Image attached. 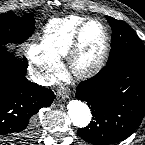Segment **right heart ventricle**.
I'll use <instances>...</instances> for the list:
<instances>
[{
  "label": "right heart ventricle",
  "mask_w": 145,
  "mask_h": 145,
  "mask_svg": "<svg viewBox=\"0 0 145 145\" xmlns=\"http://www.w3.org/2000/svg\"><path fill=\"white\" fill-rule=\"evenodd\" d=\"M87 20L86 17L70 15L50 20L43 29L36 46L41 55L60 61L67 57L77 28Z\"/></svg>",
  "instance_id": "right-heart-ventricle-1"
}]
</instances>
